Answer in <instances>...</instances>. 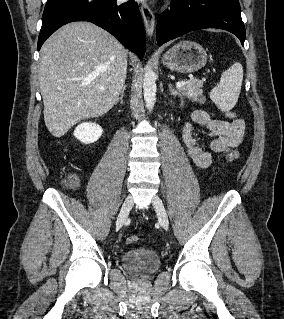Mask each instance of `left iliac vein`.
<instances>
[{"mask_svg":"<svg viewBox=\"0 0 284 319\" xmlns=\"http://www.w3.org/2000/svg\"><path fill=\"white\" fill-rule=\"evenodd\" d=\"M152 204H153L154 209L157 213V216H158V219H159L161 226L165 230H168L169 219H168V215H167V212H166V209L163 205L162 200L157 195H154V197L152 199Z\"/></svg>","mask_w":284,"mask_h":319,"instance_id":"1","label":"left iliac vein"}]
</instances>
